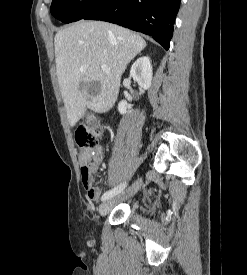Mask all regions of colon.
<instances>
[{
  "label": "colon",
  "instance_id": "5ec220e1",
  "mask_svg": "<svg viewBox=\"0 0 247 275\" xmlns=\"http://www.w3.org/2000/svg\"><path fill=\"white\" fill-rule=\"evenodd\" d=\"M101 135V128L89 121L76 129L74 135L76 145L83 151L88 159L96 157L95 150L98 146Z\"/></svg>",
  "mask_w": 247,
  "mask_h": 275
}]
</instances>
